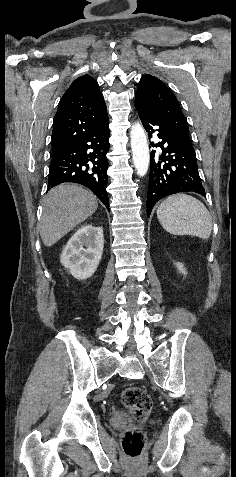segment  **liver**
<instances>
[{"label":"liver","mask_w":236,"mask_h":477,"mask_svg":"<svg viewBox=\"0 0 236 477\" xmlns=\"http://www.w3.org/2000/svg\"><path fill=\"white\" fill-rule=\"evenodd\" d=\"M98 207L96 196L75 184L51 189L43 203L40 236L50 247L90 217Z\"/></svg>","instance_id":"1"}]
</instances>
